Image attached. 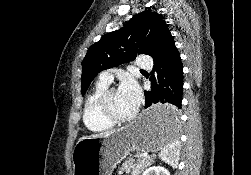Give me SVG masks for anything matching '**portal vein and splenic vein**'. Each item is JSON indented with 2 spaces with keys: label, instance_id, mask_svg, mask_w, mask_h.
I'll return each instance as SVG.
<instances>
[{
  "label": "portal vein and splenic vein",
  "instance_id": "obj_1",
  "mask_svg": "<svg viewBox=\"0 0 251 175\" xmlns=\"http://www.w3.org/2000/svg\"><path fill=\"white\" fill-rule=\"evenodd\" d=\"M141 157H142V158H147V157H148V154H147V153H142V154H141Z\"/></svg>",
  "mask_w": 251,
  "mask_h": 175
}]
</instances>
